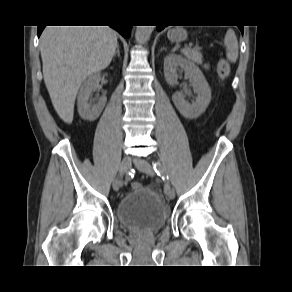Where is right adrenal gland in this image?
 Listing matches in <instances>:
<instances>
[{
	"label": "right adrenal gland",
	"instance_id": "obj_1",
	"mask_svg": "<svg viewBox=\"0 0 292 292\" xmlns=\"http://www.w3.org/2000/svg\"><path fill=\"white\" fill-rule=\"evenodd\" d=\"M118 56V57H120V49H119V45L117 44V48H116V52L114 53V57L115 56Z\"/></svg>",
	"mask_w": 292,
	"mask_h": 292
}]
</instances>
